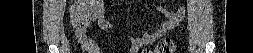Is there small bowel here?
Here are the masks:
<instances>
[{"mask_svg": "<svg viewBox=\"0 0 253 53\" xmlns=\"http://www.w3.org/2000/svg\"><path fill=\"white\" fill-rule=\"evenodd\" d=\"M91 3L95 6L93 19L98 21V24L101 27L109 29L110 25L105 20L104 7L101 1L91 0ZM160 11L166 15L167 21L164 24L156 27V29L154 30L151 29L149 32L143 34L141 37H134V36L130 37L131 52H137L139 48H141L143 45L152 44L157 38L164 36L168 34L170 31H172L183 18L186 12V7L185 6L181 7L175 12H168L164 9ZM89 28H90L89 25L85 27L76 28L75 30L76 38L85 51L89 53H98L99 46L97 42L88 36Z\"/></svg>", "mask_w": 253, "mask_h": 53, "instance_id": "1", "label": "small bowel"}]
</instances>
